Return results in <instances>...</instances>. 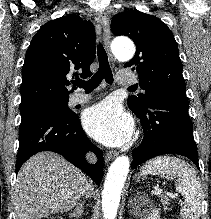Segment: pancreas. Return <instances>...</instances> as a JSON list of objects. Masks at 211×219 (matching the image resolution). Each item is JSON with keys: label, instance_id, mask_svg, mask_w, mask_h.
<instances>
[{"label": "pancreas", "instance_id": "1", "mask_svg": "<svg viewBox=\"0 0 211 219\" xmlns=\"http://www.w3.org/2000/svg\"><path fill=\"white\" fill-rule=\"evenodd\" d=\"M160 197V201L162 202L163 205H169L170 204V199L167 196L161 195ZM165 209H167V207H164Z\"/></svg>", "mask_w": 211, "mask_h": 219}]
</instances>
